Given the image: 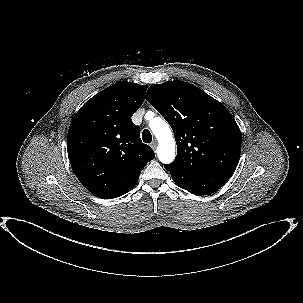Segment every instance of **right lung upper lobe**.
Returning <instances> with one entry per match:
<instances>
[{
    "label": "right lung upper lobe",
    "mask_w": 303,
    "mask_h": 303,
    "mask_svg": "<svg viewBox=\"0 0 303 303\" xmlns=\"http://www.w3.org/2000/svg\"><path fill=\"white\" fill-rule=\"evenodd\" d=\"M146 90V85L117 82L87 101L70 124L71 167L81 184L99 198H116L130 191L155 157L131 120Z\"/></svg>",
    "instance_id": "1"
}]
</instances>
